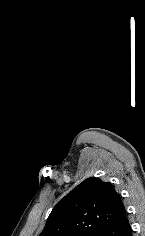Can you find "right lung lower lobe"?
I'll list each match as a JSON object with an SVG mask.
<instances>
[{
	"instance_id": "obj_1",
	"label": "right lung lower lobe",
	"mask_w": 145,
	"mask_h": 236,
	"mask_svg": "<svg viewBox=\"0 0 145 236\" xmlns=\"http://www.w3.org/2000/svg\"><path fill=\"white\" fill-rule=\"evenodd\" d=\"M96 236H132V229L127 213L105 227Z\"/></svg>"
}]
</instances>
